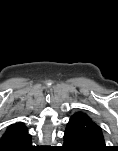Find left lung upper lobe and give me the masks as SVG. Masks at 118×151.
I'll list each match as a JSON object with an SVG mask.
<instances>
[{"mask_svg":"<svg viewBox=\"0 0 118 151\" xmlns=\"http://www.w3.org/2000/svg\"><path fill=\"white\" fill-rule=\"evenodd\" d=\"M66 128L83 136L96 151L107 149L101 128L87 114L75 113L71 116Z\"/></svg>","mask_w":118,"mask_h":151,"instance_id":"obj_1","label":"left lung upper lobe"}]
</instances>
